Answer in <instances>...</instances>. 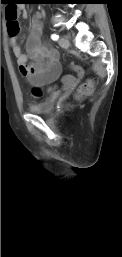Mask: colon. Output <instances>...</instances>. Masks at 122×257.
<instances>
[{
  "label": "colon",
  "mask_w": 122,
  "mask_h": 257,
  "mask_svg": "<svg viewBox=\"0 0 122 257\" xmlns=\"http://www.w3.org/2000/svg\"><path fill=\"white\" fill-rule=\"evenodd\" d=\"M4 10H6L7 28L10 36L18 35L19 24L17 21V11L18 5H4ZM70 66H74L73 69L76 71V79L84 78V71L80 67L75 66V61L69 62ZM94 88V83L92 80H87L80 85L78 89V94L80 96L89 95ZM47 90L43 85H32L31 89H28V94H32V98H45Z\"/></svg>",
  "instance_id": "colon-1"
}]
</instances>
